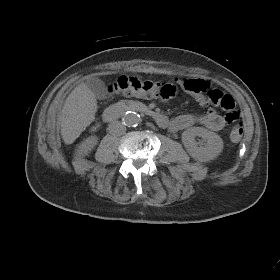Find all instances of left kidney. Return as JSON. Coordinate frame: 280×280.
I'll return each instance as SVG.
<instances>
[{"mask_svg":"<svg viewBox=\"0 0 280 280\" xmlns=\"http://www.w3.org/2000/svg\"><path fill=\"white\" fill-rule=\"evenodd\" d=\"M196 136L202 137L206 141L205 146H198ZM182 140L189 155L199 161L214 159L223 148L220 136L203 127H193L184 131Z\"/></svg>","mask_w":280,"mask_h":280,"instance_id":"obj_1","label":"left kidney"}]
</instances>
